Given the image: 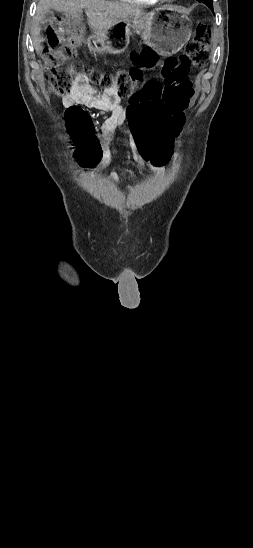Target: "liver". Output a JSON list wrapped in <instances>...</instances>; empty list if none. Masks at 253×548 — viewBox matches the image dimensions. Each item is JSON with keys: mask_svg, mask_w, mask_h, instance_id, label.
I'll return each instance as SVG.
<instances>
[{"mask_svg": "<svg viewBox=\"0 0 253 548\" xmlns=\"http://www.w3.org/2000/svg\"><path fill=\"white\" fill-rule=\"evenodd\" d=\"M50 9L75 18L85 10L90 29L99 35H105L108 30L141 11L135 5L108 0H39L31 31L36 52L42 50L40 21Z\"/></svg>", "mask_w": 253, "mask_h": 548, "instance_id": "6515ba94", "label": "liver"}]
</instances>
